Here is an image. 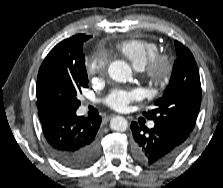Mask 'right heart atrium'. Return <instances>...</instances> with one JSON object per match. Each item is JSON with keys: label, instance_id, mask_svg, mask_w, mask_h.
<instances>
[{"label": "right heart atrium", "instance_id": "1", "mask_svg": "<svg viewBox=\"0 0 223 188\" xmlns=\"http://www.w3.org/2000/svg\"><path fill=\"white\" fill-rule=\"evenodd\" d=\"M105 66L103 58L99 54H94L88 63V71L90 74L101 71Z\"/></svg>", "mask_w": 223, "mask_h": 188}]
</instances>
